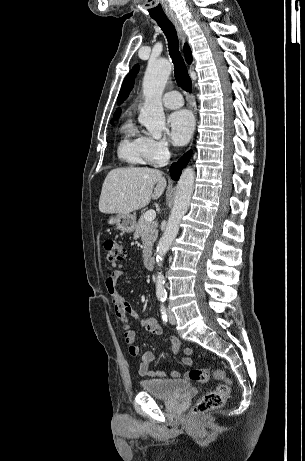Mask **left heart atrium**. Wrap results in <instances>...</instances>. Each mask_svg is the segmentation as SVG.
Listing matches in <instances>:
<instances>
[{
  "mask_svg": "<svg viewBox=\"0 0 305 461\" xmlns=\"http://www.w3.org/2000/svg\"><path fill=\"white\" fill-rule=\"evenodd\" d=\"M168 125L172 140L178 145H183L192 135L194 119L187 110H179L169 116Z\"/></svg>",
  "mask_w": 305,
  "mask_h": 461,
  "instance_id": "left-heart-atrium-1",
  "label": "left heart atrium"
}]
</instances>
